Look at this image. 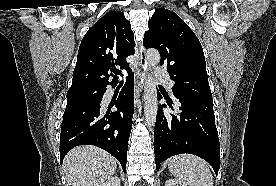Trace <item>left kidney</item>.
<instances>
[{"instance_id":"5707ae66","label":"left kidney","mask_w":276,"mask_h":186,"mask_svg":"<svg viewBox=\"0 0 276 186\" xmlns=\"http://www.w3.org/2000/svg\"><path fill=\"white\" fill-rule=\"evenodd\" d=\"M165 186H187L184 182L177 179H168L165 182Z\"/></svg>"}]
</instances>
